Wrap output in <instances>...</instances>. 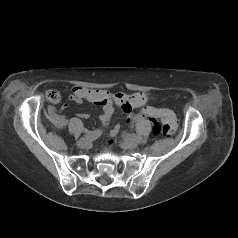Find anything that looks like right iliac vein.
I'll list each match as a JSON object with an SVG mask.
<instances>
[{"label": "right iliac vein", "mask_w": 238, "mask_h": 238, "mask_svg": "<svg viewBox=\"0 0 238 238\" xmlns=\"http://www.w3.org/2000/svg\"><path fill=\"white\" fill-rule=\"evenodd\" d=\"M89 145V140L85 137L81 138L79 141H78V146L80 148H86L88 147Z\"/></svg>", "instance_id": "1"}]
</instances>
